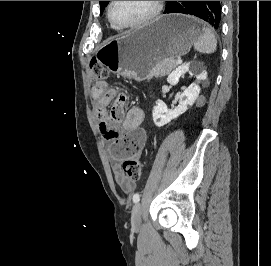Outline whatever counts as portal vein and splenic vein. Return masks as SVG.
<instances>
[{
	"mask_svg": "<svg viewBox=\"0 0 271 266\" xmlns=\"http://www.w3.org/2000/svg\"><path fill=\"white\" fill-rule=\"evenodd\" d=\"M182 63V60L181 59H178L177 61H176V64H181Z\"/></svg>",
	"mask_w": 271,
	"mask_h": 266,
	"instance_id": "1",
	"label": "portal vein and splenic vein"
}]
</instances>
